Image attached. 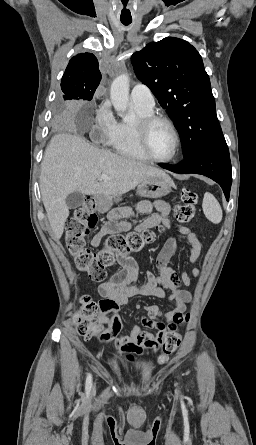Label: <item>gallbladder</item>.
I'll list each match as a JSON object with an SVG mask.
<instances>
[{"label": "gallbladder", "instance_id": "1", "mask_svg": "<svg viewBox=\"0 0 256 445\" xmlns=\"http://www.w3.org/2000/svg\"><path fill=\"white\" fill-rule=\"evenodd\" d=\"M84 202V195L78 191L70 193L66 198V204L69 209H76Z\"/></svg>", "mask_w": 256, "mask_h": 445}]
</instances>
